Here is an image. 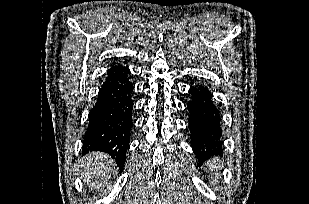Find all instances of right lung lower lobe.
Wrapping results in <instances>:
<instances>
[{
	"label": "right lung lower lobe",
	"mask_w": 309,
	"mask_h": 204,
	"mask_svg": "<svg viewBox=\"0 0 309 204\" xmlns=\"http://www.w3.org/2000/svg\"><path fill=\"white\" fill-rule=\"evenodd\" d=\"M129 74L130 70L120 65L108 70L89 113L82 147L83 154L89 151L109 154L120 169L124 167L133 127L134 88Z\"/></svg>",
	"instance_id": "1"
}]
</instances>
